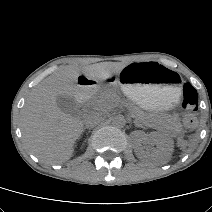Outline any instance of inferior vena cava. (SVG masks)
<instances>
[{"mask_svg":"<svg viewBox=\"0 0 212 212\" xmlns=\"http://www.w3.org/2000/svg\"><path fill=\"white\" fill-rule=\"evenodd\" d=\"M102 113L96 110L89 111L85 114L83 123L86 127H94L101 121H103Z\"/></svg>","mask_w":212,"mask_h":212,"instance_id":"602c4592","label":"inferior vena cava"}]
</instances>
